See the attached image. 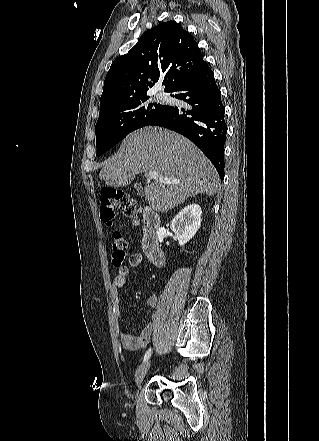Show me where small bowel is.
I'll use <instances>...</instances> for the list:
<instances>
[{
    "label": "small bowel",
    "instance_id": "obj_1",
    "mask_svg": "<svg viewBox=\"0 0 319 441\" xmlns=\"http://www.w3.org/2000/svg\"><path fill=\"white\" fill-rule=\"evenodd\" d=\"M143 257L140 253H131L128 256L129 266L116 265L118 267L117 275L115 276L110 287V299L113 304L114 314L117 318L120 317V290L125 286L126 279L130 274L132 268H137L142 263ZM158 303V298L151 295L146 299V304L150 308H155ZM154 330V323L151 319L141 330L138 335L128 333L123 328L120 329L119 337L122 345L129 351H140L148 345Z\"/></svg>",
    "mask_w": 319,
    "mask_h": 441
}]
</instances>
